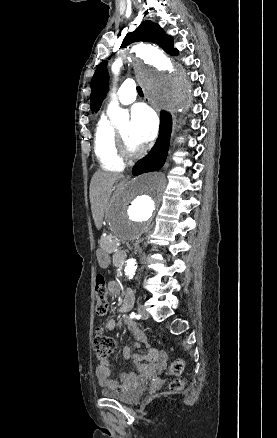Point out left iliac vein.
Returning <instances> with one entry per match:
<instances>
[{
    "instance_id": "obj_1",
    "label": "left iliac vein",
    "mask_w": 277,
    "mask_h": 438,
    "mask_svg": "<svg viewBox=\"0 0 277 438\" xmlns=\"http://www.w3.org/2000/svg\"><path fill=\"white\" fill-rule=\"evenodd\" d=\"M138 313L142 319H147L149 317V314L143 305L138 306Z\"/></svg>"
}]
</instances>
